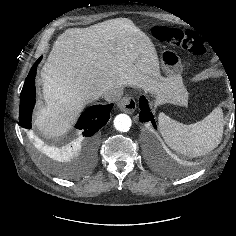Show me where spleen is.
Here are the masks:
<instances>
[{"instance_id":"3e777b00","label":"spleen","mask_w":236,"mask_h":236,"mask_svg":"<svg viewBox=\"0 0 236 236\" xmlns=\"http://www.w3.org/2000/svg\"><path fill=\"white\" fill-rule=\"evenodd\" d=\"M158 125L166 144L177 153L190 157L202 156L214 150L223 135V113L215 108L196 123L185 125L159 113Z\"/></svg>"}]
</instances>
